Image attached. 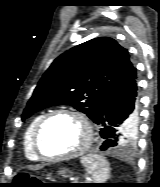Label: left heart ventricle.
<instances>
[{"label":"left heart ventricle","instance_id":"left-heart-ventricle-1","mask_svg":"<svg viewBox=\"0 0 160 187\" xmlns=\"http://www.w3.org/2000/svg\"><path fill=\"white\" fill-rule=\"evenodd\" d=\"M85 135V127L78 118L59 115L52 118L44 127L41 148L51 155L67 154L83 144Z\"/></svg>","mask_w":160,"mask_h":187}]
</instances>
